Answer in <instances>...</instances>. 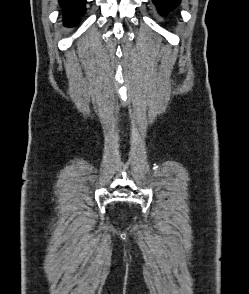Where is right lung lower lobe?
Returning <instances> with one entry per match:
<instances>
[{
    "label": "right lung lower lobe",
    "mask_w": 249,
    "mask_h": 294,
    "mask_svg": "<svg viewBox=\"0 0 249 294\" xmlns=\"http://www.w3.org/2000/svg\"><path fill=\"white\" fill-rule=\"evenodd\" d=\"M64 9V24L74 26L85 12L86 0H59Z\"/></svg>",
    "instance_id": "right-lung-lower-lobe-1"
}]
</instances>
